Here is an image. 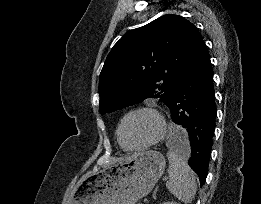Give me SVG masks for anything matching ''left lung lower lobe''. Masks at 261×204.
I'll list each match as a JSON object with an SVG mask.
<instances>
[{
	"label": "left lung lower lobe",
	"mask_w": 261,
	"mask_h": 204,
	"mask_svg": "<svg viewBox=\"0 0 261 204\" xmlns=\"http://www.w3.org/2000/svg\"><path fill=\"white\" fill-rule=\"evenodd\" d=\"M168 108L172 121L180 126H175L177 141L189 154L188 163L198 174L202 186L208 173L216 104L210 57L200 33L196 37Z\"/></svg>",
	"instance_id": "0a47b994"
}]
</instances>
